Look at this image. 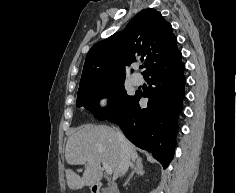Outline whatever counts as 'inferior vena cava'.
<instances>
[{"label":"inferior vena cava","instance_id":"inferior-vena-cava-1","mask_svg":"<svg viewBox=\"0 0 237 193\" xmlns=\"http://www.w3.org/2000/svg\"><path fill=\"white\" fill-rule=\"evenodd\" d=\"M117 137L120 141V149H121L120 166H119L120 174L123 176L128 171V168L131 165L130 154H129L128 144L124 135L120 131H117Z\"/></svg>","mask_w":237,"mask_h":193}]
</instances>
